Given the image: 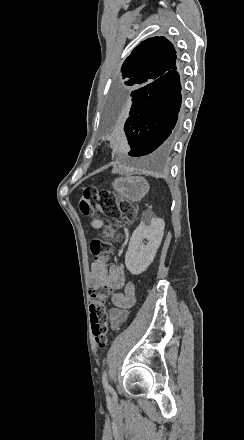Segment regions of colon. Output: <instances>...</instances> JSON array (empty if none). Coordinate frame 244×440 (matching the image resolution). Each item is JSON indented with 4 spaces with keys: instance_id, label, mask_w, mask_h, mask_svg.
Masks as SVG:
<instances>
[{
    "instance_id": "1",
    "label": "colon",
    "mask_w": 244,
    "mask_h": 440,
    "mask_svg": "<svg viewBox=\"0 0 244 440\" xmlns=\"http://www.w3.org/2000/svg\"><path fill=\"white\" fill-rule=\"evenodd\" d=\"M79 208L84 216L102 219L101 235L91 242L89 248L95 258H100L106 249L108 251L113 249L117 240L116 224L127 212V208L124 206L119 208L110 192L90 187L83 190ZM124 219L130 221V217ZM108 297L109 292L105 286H96L91 292V303L88 306L91 332L100 350L107 346L106 301Z\"/></svg>"
}]
</instances>
